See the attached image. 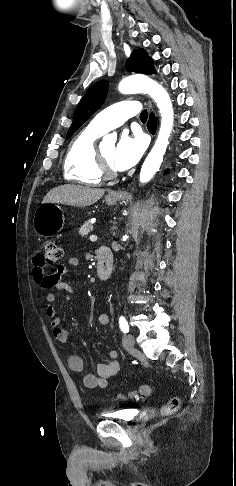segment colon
Here are the masks:
<instances>
[{
  "mask_svg": "<svg viewBox=\"0 0 236 486\" xmlns=\"http://www.w3.org/2000/svg\"><path fill=\"white\" fill-rule=\"evenodd\" d=\"M44 263L47 265H54L62 256L61 248L54 242H46L43 245L41 253ZM153 393V387L150 385H141L136 390L130 391L126 394H119L118 398H146ZM181 405V400L178 397H173L164 406L161 407L160 413L162 415H170L176 412Z\"/></svg>",
  "mask_w": 236,
  "mask_h": 486,
  "instance_id": "1",
  "label": "colon"
}]
</instances>
